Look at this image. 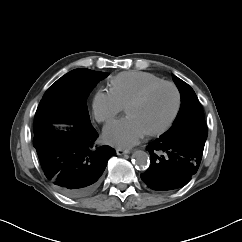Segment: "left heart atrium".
<instances>
[{"mask_svg": "<svg viewBox=\"0 0 242 242\" xmlns=\"http://www.w3.org/2000/svg\"><path fill=\"white\" fill-rule=\"evenodd\" d=\"M145 133L135 119L128 114L109 123L104 128L103 137L109 144L130 147L137 144Z\"/></svg>", "mask_w": 242, "mask_h": 242, "instance_id": "obj_1", "label": "left heart atrium"}]
</instances>
